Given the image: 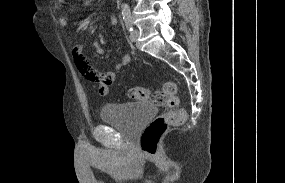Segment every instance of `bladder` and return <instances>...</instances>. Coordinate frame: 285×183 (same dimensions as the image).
Listing matches in <instances>:
<instances>
[{"mask_svg": "<svg viewBox=\"0 0 285 183\" xmlns=\"http://www.w3.org/2000/svg\"><path fill=\"white\" fill-rule=\"evenodd\" d=\"M156 113V106L148 102L106 104L101 107L100 118L104 123L117 125L126 133L135 134Z\"/></svg>", "mask_w": 285, "mask_h": 183, "instance_id": "1", "label": "bladder"}]
</instances>
